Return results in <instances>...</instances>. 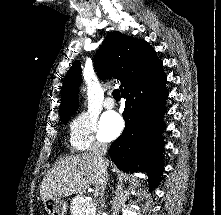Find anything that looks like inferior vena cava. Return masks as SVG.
I'll list each match as a JSON object with an SVG mask.
<instances>
[{"instance_id": "obj_1", "label": "inferior vena cava", "mask_w": 221, "mask_h": 215, "mask_svg": "<svg viewBox=\"0 0 221 215\" xmlns=\"http://www.w3.org/2000/svg\"><path fill=\"white\" fill-rule=\"evenodd\" d=\"M89 153L92 154L98 161L99 170L94 184V195L96 197V201L102 205L104 202V193L108 177L106 170V164L108 161L104 158L107 153V144L98 140L94 141L90 146Z\"/></svg>"}]
</instances>
